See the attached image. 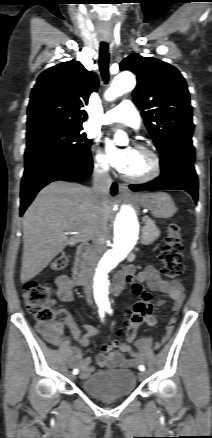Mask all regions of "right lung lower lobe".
<instances>
[{"label": "right lung lower lobe", "instance_id": "1", "mask_svg": "<svg viewBox=\"0 0 212 438\" xmlns=\"http://www.w3.org/2000/svg\"><path fill=\"white\" fill-rule=\"evenodd\" d=\"M93 169L90 150L61 151L50 148H26L25 171L21 181L20 216L40 189L57 180L80 181ZM111 193H117L114 183Z\"/></svg>", "mask_w": 212, "mask_h": 438}]
</instances>
